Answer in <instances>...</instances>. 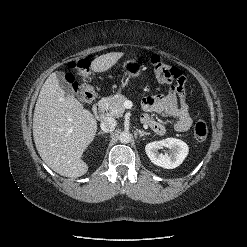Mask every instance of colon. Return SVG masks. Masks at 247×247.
I'll use <instances>...</instances> for the list:
<instances>
[{
  "mask_svg": "<svg viewBox=\"0 0 247 247\" xmlns=\"http://www.w3.org/2000/svg\"><path fill=\"white\" fill-rule=\"evenodd\" d=\"M151 65L154 70L155 77L163 84L167 85H179L184 81V77L181 71L169 64L164 63L157 55L151 57ZM69 68L77 71L83 77V82L78 83L75 81V77L72 73L67 75L69 83L73 85V88L80 99L84 103L91 102L95 96L94 88L86 81L90 68V60L87 57L75 59L68 64ZM194 137L197 141H204L208 135V126L205 120L198 119L193 129Z\"/></svg>",
  "mask_w": 247,
  "mask_h": 247,
  "instance_id": "obj_1",
  "label": "colon"
}]
</instances>
